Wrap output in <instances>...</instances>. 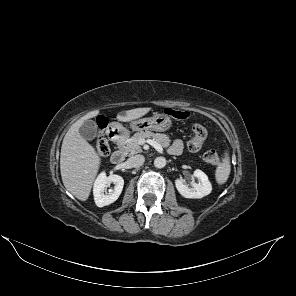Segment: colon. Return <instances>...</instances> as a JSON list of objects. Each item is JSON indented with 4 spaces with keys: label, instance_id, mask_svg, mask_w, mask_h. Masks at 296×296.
<instances>
[{
    "label": "colon",
    "instance_id": "1",
    "mask_svg": "<svg viewBox=\"0 0 296 296\" xmlns=\"http://www.w3.org/2000/svg\"><path fill=\"white\" fill-rule=\"evenodd\" d=\"M165 113L178 120H185L189 116L187 111L176 110L172 108H166ZM106 125V120L100 119L98 121V126L101 131L97 136L95 149L99 156H105L109 153V143L105 134L103 133V129L106 127ZM191 130L193 132V137L188 142V148L191 151H198L202 148L207 138V131L200 124H193ZM203 159L206 163H209L213 166H218L220 164V157L214 150L206 151L203 155Z\"/></svg>",
    "mask_w": 296,
    "mask_h": 296
}]
</instances>
